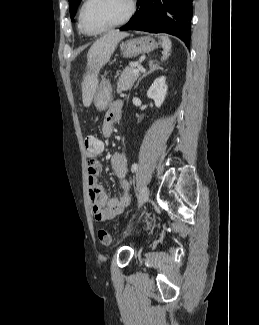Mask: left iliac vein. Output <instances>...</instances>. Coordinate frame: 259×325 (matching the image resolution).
<instances>
[{
	"label": "left iliac vein",
	"instance_id": "obj_1",
	"mask_svg": "<svg viewBox=\"0 0 259 325\" xmlns=\"http://www.w3.org/2000/svg\"><path fill=\"white\" fill-rule=\"evenodd\" d=\"M148 197H149V189L148 187L144 186L140 192L138 206L141 207L148 200Z\"/></svg>",
	"mask_w": 259,
	"mask_h": 325
}]
</instances>
